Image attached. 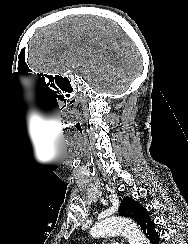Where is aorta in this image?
<instances>
[{"label": "aorta", "instance_id": "1", "mask_svg": "<svg viewBox=\"0 0 188 244\" xmlns=\"http://www.w3.org/2000/svg\"><path fill=\"white\" fill-rule=\"evenodd\" d=\"M90 234L93 237L123 235L128 239L129 244H149L137 224L122 217H110L95 224Z\"/></svg>", "mask_w": 188, "mask_h": 244}]
</instances>
